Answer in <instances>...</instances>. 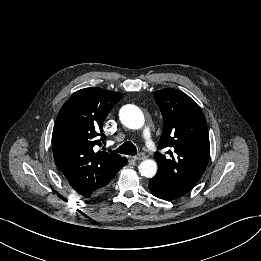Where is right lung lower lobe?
Returning a JSON list of instances; mask_svg holds the SVG:
<instances>
[{
  "label": "right lung lower lobe",
  "instance_id": "right-lung-lower-lobe-1",
  "mask_svg": "<svg viewBox=\"0 0 261 261\" xmlns=\"http://www.w3.org/2000/svg\"><path fill=\"white\" fill-rule=\"evenodd\" d=\"M126 163H127V161L124 163V165H126ZM124 165H123V166H124ZM123 166H122V167H123ZM122 167H121V168H122ZM121 168H120V169H121ZM120 169H119V170H120ZM102 191H103V190H102Z\"/></svg>",
  "mask_w": 261,
  "mask_h": 261
}]
</instances>
